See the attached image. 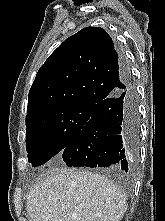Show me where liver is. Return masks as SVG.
<instances>
[{"label":"liver","mask_w":165,"mask_h":221,"mask_svg":"<svg viewBox=\"0 0 165 221\" xmlns=\"http://www.w3.org/2000/svg\"><path fill=\"white\" fill-rule=\"evenodd\" d=\"M26 208L32 221H120L127 200L105 176L52 167L30 191Z\"/></svg>","instance_id":"liver-1"}]
</instances>
